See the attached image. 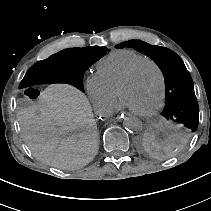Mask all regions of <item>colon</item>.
<instances>
[{
    "mask_svg": "<svg viewBox=\"0 0 211 211\" xmlns=\"http://www.w3.org/2000/svg\"><path fill=\"white\" fill-rule=\"evenodd\" d=\"M41 92H42V88L41 87L31 86V87H28L25 90L24 93H25V96L28 99L34 100V99H37L40 96Z\"/></svg>",
    "mask_w": 211,
    "mask_h": 211,
    "instance_id": "obj_1",
    "label": "colon"
}]
</instances>
